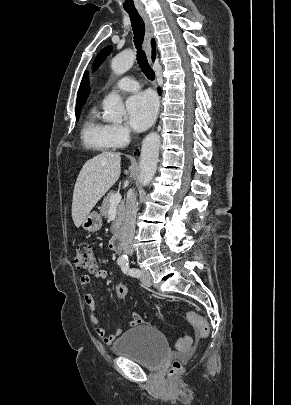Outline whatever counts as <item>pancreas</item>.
Masks as SVG:
<instances>
[{"label": "pancreas", "instance_id": "1", "mask_svg": "<svg viewBox=\"0 0 291 405\" xmlns=\"http://www.w3.org/2000/svg\"><path fill=\"white\" fill-rule=\"evenodd\" d=\"M114 194L113 191L109 192L107 196L103 199L102 206L100 209L101 216L108 218V212L110 209V198ZM125 217V206L124 202L121 201L117 205L116 219L111 224V232L113 235H117L121 229L122 223Z\"/></svg>", "mask_w": 291, "mask_h": 405}]
</instances>
